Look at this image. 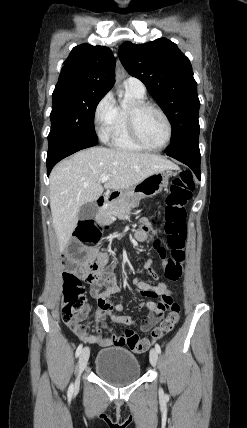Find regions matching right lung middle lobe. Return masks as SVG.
Listing matches in <instances>:
<instances>
[{
	"mask_svg": "<svg viewBox=\"0 0 247 428\" xmlns=\"http://www.w3.org/2000/svg\"><path fill=\"white\" fill-rule=\"evenodd\" d=\"M105 93L65 91L52 95L48 142L63 139L97 141L95 110Z\"/></svg>",
	"mask_w": 247,
	"mask_h": 428,
	"instance_id": "dd1d6c3e",
	"label": "right lung middle lobe"
}]
</instances>
